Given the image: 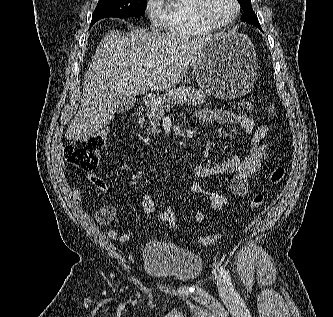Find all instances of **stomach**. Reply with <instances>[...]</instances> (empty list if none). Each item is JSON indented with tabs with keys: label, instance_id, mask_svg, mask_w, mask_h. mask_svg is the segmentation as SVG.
<instances>
[{
	"label": "stomach",
	"instance_id": "obj_1",
	"mask_svg": "<svg viewBox=\"0 0 333 317\" xmlns=\"http://www.w3.org/2000/svg\"><path fill=\"white\" fill-rule=\"evenodd\" d=\"M192 69L206 93L221 99L240 98L249 93L256 81L254 45L242 33L218 34L202 46Z\"/></svg>",
	"mask_w": 333,
	"mask_h": 317
}]
</instances>
